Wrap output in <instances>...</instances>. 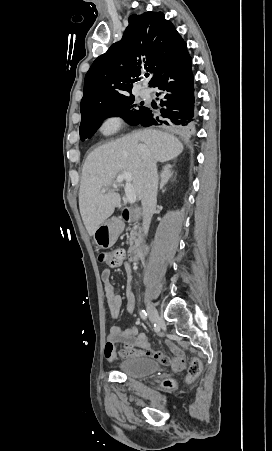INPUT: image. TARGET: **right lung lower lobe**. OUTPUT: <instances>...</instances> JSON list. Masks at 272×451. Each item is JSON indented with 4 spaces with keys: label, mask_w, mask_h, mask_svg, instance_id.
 <instances>
[{
    "label": "right lung lower lobe",
    "mask_w": 272,
    "mask_h": 451,
    "mask_svg": "<svg viewBox=\"0 0 272 451\" xmlns=\"http://www.w3.org/2000/svg\"><path fill=\"white\" fill-rule=\"evenodd\" d=\"M191 67L192 59L186 52L158 75L152 87L160 91L156 94L161 97L160 117L147 108L136 125H166L179 133H189L193 130L197 116Z\"/></svg>",
    "instance_id": "1"
}]
</instances>
